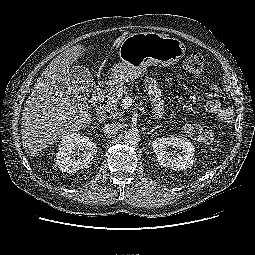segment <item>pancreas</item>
<instances>
[{"instance_id":"pancreas-1","label":"pancreas","mask_w":255,"mask_h":255,"mask_svg":"<svg viewBox=\"0 0 255 255\" xmlns=\"http://www.w3.org/2000/svg\"><path fill=\"white\" fill-rule=\"evenodd\" d=\"M132 93V89L126 86L120 87L116 92H113L111 96L108 97V101L106 102V109L110 113H114L115 117H121L123 112H121V109L118 106L123 98L131 96Z\"/></svg>"}]
</instances>
